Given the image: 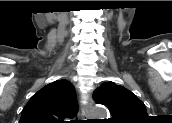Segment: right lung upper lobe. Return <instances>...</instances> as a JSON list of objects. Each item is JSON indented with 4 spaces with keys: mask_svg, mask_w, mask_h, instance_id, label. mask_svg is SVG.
<instances>
[{
    "mask_svg": "<svg viewBox=\"0 0 172 123\" xmlns=\"http://www.w3.org/2000/svg\"><path fill=\"white\" fill-rule=\"evenodd\" d=\"M78 111L74 86L54 81L40 89L25 105L19 123H65Z\"/></svg>",
    "mask_w": 172,
    "mask_h": 123,
    "instance_id": "obj_1",
    "label": "right lung upper lobe"
}]
</instances>
